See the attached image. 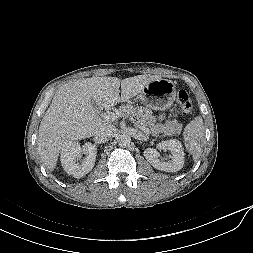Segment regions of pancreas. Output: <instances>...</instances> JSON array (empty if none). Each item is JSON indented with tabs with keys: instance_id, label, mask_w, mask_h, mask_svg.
Masks as SVG:
<instances>
[{
	"instance_id": "obj_1",
	"label": "pancreas",
	"mask_w": 253,
	"mask_h": 253,
	"mask_svg": "<svg viewBox=\"0 0 253 253\" xmlns=\"http://www.w3.org/2000/svg\"><path fill=\"white\" fill-rule=\"evenodd\" d=\"M116 113L119 117L135 118V121L141 126L148 128L153 136H158L160 133L168 136L178 135L182 130V124H179L176 120L167 121L165 124L156 123V116L146 107H135L131 104H126L120 106Z\"/></svg>"
}]
</instances>
